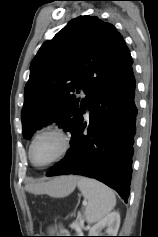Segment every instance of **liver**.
Instances as JSON below:
<instances>
[{"label":"liver","mask_w":158,"mask_h":237,"mask_svg":"<svg viewBox=\"0 0 158 237\" xmlns=\"http://www.w3.org/2000/svg\"><path fill=\"white\" fill-rule=\"evenodd\" d=\"M79 177L63 176L49 182H37L26 185V190L35 194H48L55 196L61 190L68 188L70 193L75 189Z\"/></svg>","instance_id":"6515ba94"}]
</instances>
